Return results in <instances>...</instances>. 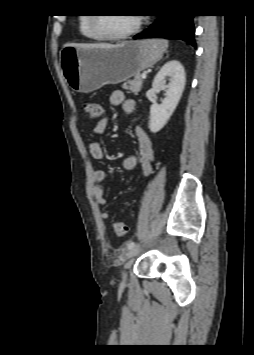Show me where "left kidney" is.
<instances>
[{"label":"left kidney","mask_w":254,"mask_h":355,"mask_svg":"<svg viewBox=\"0 0 254 355\" xmlns=\"http://www.w3.org/2000/svg\"><path fill=\"white\" fill-rule=\"evenodd\" d=\"M167 78L170 83L165 85ZM185 70L179 61L167 62L157 73L152 83L154 89H165L166 97L161 104L154 103L150 107L149 129L159 132L168 122L176 109L185 87Z\"/></svg>","instance_id":"obj_1"}]
</instances>
